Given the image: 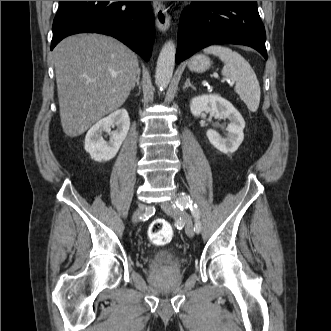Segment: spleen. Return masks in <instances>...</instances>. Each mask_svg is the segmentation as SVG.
<instances>
[{
    "mask_svg": "<svg viewBox=\"0 0 331 331\" xmlns=\"http://www.w3.org/2000/svg\"><path fill=\"white\" fill-rule=\"evenodd\" d=\"M205 53L216 55L224 63L222 75L236 82L235 92L251 112H256L260 103V85L250 64L238 52L229 47L211 45Z\"/></svg>",
    "mask_w": 331,
    "mask_h": 331,
    "instance_id": "1",
    "label": "spleen"
}]
</instances>
